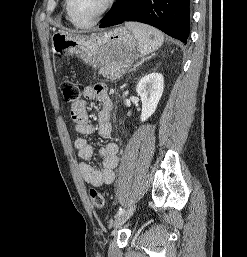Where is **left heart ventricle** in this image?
<instances>
[{
  "label": "left heart ventricle",
  "mask_w": 247,
  "mask_h": 257,
  "mask_svg": "<svg viewBox=\"0 0 247 257\" xmlns=\"http://www.w3.org/2000/svg\"><path fill=\"white\" fill-rule=\"evenodd\" d=\"M105 2L106 0H71V15L77 22L86 24L101 11Z\"/></svg>",
  "instance_id": "1"
}]
</instances>
